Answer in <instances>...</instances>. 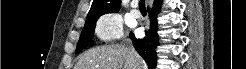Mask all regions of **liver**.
I'll use <instances>...</instances> for the list:
<instances>
[{
    "mask_svg": "<svg viewBox=\"0 0 246 69\" xmlns=\"http://www.w3.org/2000/svg\"><path fill=\"white\" fill-rule=\"evenodd\" d=\"M136 53V51L134 50ZM134 52L122 45H103L85 52L75 69H134ZM139 69H147L145 62L138 55Z\"/></svg>",
    "mask_w": 246,
    "mask_h": 69,
    "instance_id": "6515ba94",
    "label": "liver"
}]
</instances>
